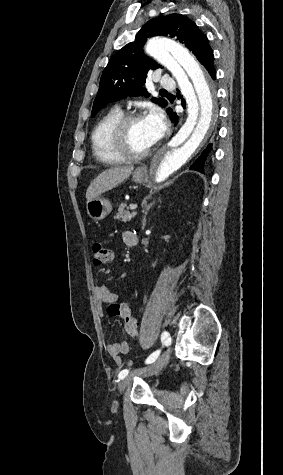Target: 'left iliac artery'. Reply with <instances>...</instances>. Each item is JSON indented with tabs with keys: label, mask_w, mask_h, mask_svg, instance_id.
Masks as SVG:
<instances>
[{
	"label": "left iliac artery",
	"mask_w": 283,
	"mask_h": 475,
	"mask_svg": "<svg viewBox=\"0 0 283 475\" xmlns=\"http://www.w3.org/2000/svg\"><path fill=\"white\" fill-rule=\"evenodd\" d=\"M169 336V333L167 331H164L161 335V341L163 344H168L167 342V338ZM160 354V350H157L155 352H153L145 361L146 364H151L153 363L159 356ZM129 371L127 369L125 370H122L119 375H118V378L119 380H122L124 379L127 375H128Z\"/></svg>",
	"instance_id": "1"
}]
</instances>
